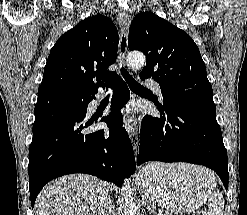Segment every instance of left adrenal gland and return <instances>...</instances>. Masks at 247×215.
<instances>
[{"mask_svg": "<svg viewBox=\"0 0 247 215\" xmlns=\"http://www.w3.org/2000/svg\"><path fill=\"white\" fill-rule=\"evenodd\" d=\"M143 203H144V207H145L148 211L152 212L150 206H148V204H147V201H143Z\"/></svg>", "mask_w": 247, "mask_h": 215, "instance_id": "left-adrenal-gland-1", "label": "left adrenal gland"}]
</instances>
